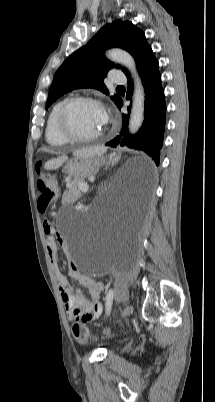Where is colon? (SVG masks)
Instances as JSON below:
<instances>
[{
  "label": "colon",
  "mask_w": 215,
  "mask_h": 402,
  "mask_svg": "<svg viewBox=\"0 0 215 402\" xmlns=\"http://www.w3.org/2000/svg\"><path fill=\"white\" fill-rule=\"evenodd\" d=\"M37 170L41 172L40 165ZM38 189L40 196L38 207L41 211H45L47 207L53 203L57 197L59 185L57 179L49 173H41V178L38 181ZM49 221V220H44ZM74 338L82 343H85L93 338L89 330L80 322H76L72 327Z\"/></svg>",
  "instance_id": "5ec220e1"
}]
</instances>
